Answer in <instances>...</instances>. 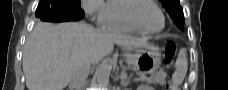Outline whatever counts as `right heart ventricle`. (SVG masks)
Returning <instances> with one entry per match:
<instances>
[{"label": "right heart ventricle", "instance_id": "right-heart-ventricle-1", "mask_svg": "<svg viewBox=\"0 0 228 90\" xmlns=\"http://www.w3.org/2000/svg\"><path fill=\"white\" fill-rule=\"evenodd\" d=\"M135 3L136 0H109L106 4L104 26L111 31L144 33L127 18V9Z\"/></svg>", "mask_w": 228, "mask_h": 90}]
</instances>
